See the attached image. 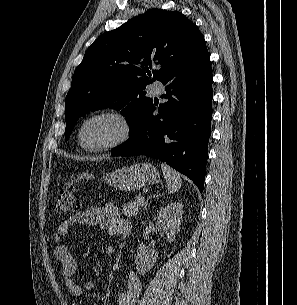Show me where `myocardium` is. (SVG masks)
<instances>
[{
	"instance_id": "f54148a6",
	"label": "myocardium",
	"mask_w": 297,
	"mask_h": 305,
	"mask_svg": "<svg viewBox=\"0 0 297 305\" xmlns=\"http://www.w3.org/2000/svg\"><path fill=\"white\" fill-rule=\"evenodd\" d=\"M101 118H108L117 122L120 128L119 135L115 139L102 144L86 143L83 138V131L85 126L89 122ZM131 132H132V124L129 118L124 113L116 110H101L89 114L80 121V123L77 126L76 136L78 143L82 149L90 152H100V151L111 150L121 146L130 138Z\"/></svg>"
}]
</instances>
